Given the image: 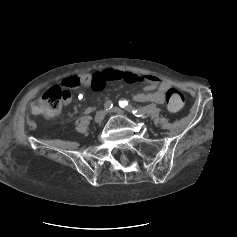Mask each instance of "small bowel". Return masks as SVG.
I'll return each instance as SVG.
<instances>
[{
	"label": "small bowel",
	"mask_w": 237,
	"mask_h": 237,
	"mask_svg": "<svg viewBox=\"0 0 237 237\" xmlns=\"http://www.w3.org/2000/svg\"><path fill=\"white\" fill-rule=\"evenodd\" d=\"M79 81V85L89 86L94 91L102 90L108 82L124 81L126 83H144L145 93L134 96L137 102H150L163 104L170 84L154 74H136L129 71L105 69L97 74H86L80 77H72Z\"/></svg>",
	"instance_id": "small-bowel-1"
}]
</instances>
